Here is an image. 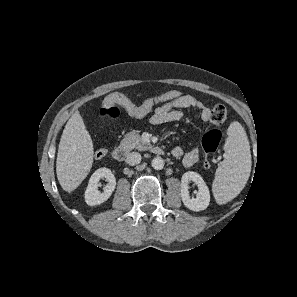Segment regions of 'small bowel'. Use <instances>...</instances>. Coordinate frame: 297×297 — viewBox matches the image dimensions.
Wrapping results in <instances>:
<instances>
[{
  "label": "small bowel",
  "mask_w": 297,
  "mask_h": 297,
  "mask_svg": "<svg viewBox=\"0 0 297 297\" xmlns=\"http://www.w3.org/2000/svg\"><path fill=\"white\" fill-rule=\"evenodd\" d=\"M121 106L129 115L137 118L144 117L153 110V113L150 116V122L154 125L179 121L184 116V110L190 108L197 109L204 122L208 121L210 116V108L199 98L189 94L182 95L173 101L164 102L147 111L143 110L141 104L137 105L133 103L131 106H127L126 104L121 103ZM171 153L177 158L182 156V163L185 167L195 166L200 160V149L198 146L193 147L185 154L181 147H175L172 149Z\"/></svg>",
  "instance_id": "c3829d8e"
}]
</instances>
